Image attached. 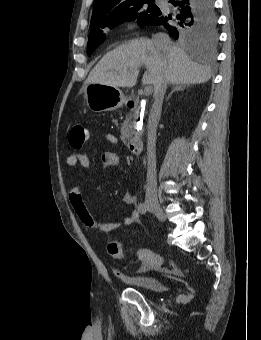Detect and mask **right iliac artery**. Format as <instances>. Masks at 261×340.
<instances>
[{"label":"right iliac artery","instance_id":"right-iliac-artery-1","mask_svg":"<svg viewBox=\"0 0 261 340\" xmlns=\"http://www.w3.org/2000/svg\"><path fill=\"white\" fill-rule=\"evenodd\" d=\"M148 210V207L146 205V203H140L139 206H138V211L141 213V214H145Z\"/></svg>","mask_w":261,"mask_h":340}]
</instances>
